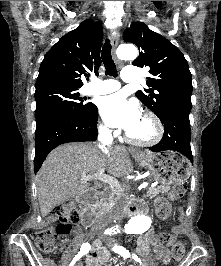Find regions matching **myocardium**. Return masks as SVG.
Returning a JSON list of instances; mask_svg holds the SVG:
<instances>
[{
  "label": "myocardium",
  "instance_id": "1",
  "mask_svg": "<svg viewBox=\"0 0 221 266\" xmlns=\"http://www.w3.org/2000/svg\"><path fill=\"white\" fill-rule=\"evenodd\" d=\"M143 118L148 120L152 127V133L149 137L143 138V139H138L133 137L132 135L129 134V132H126V140L134 145L137 146H149L152 145L156 142H158L161 137L163 136L164 133V127L160 119L152 112H146L143 115Z\"/></svg>",
  "mask_w": 221,
  "mask_h": 266
}]
</instances>
